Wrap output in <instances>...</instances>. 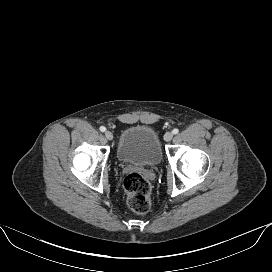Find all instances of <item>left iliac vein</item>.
<instances>
[{"label": "left iliac vein", "mask_w": 272, "mask_h": 272, "mask_svg": "<svg viewBox=\"0 0 272 272\" xmlns=\"http://www.w3.org/2000/svg\"><path fill=\"white\" fill-rule=\"evenodd\" d=\"M173 138V133L172 132H166L165 135H164V140L165 141H171Z\"/></svg>", "instance_id": "obj_1"}]
</instances>
